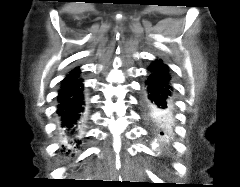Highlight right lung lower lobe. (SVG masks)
<instances>
[{
  "label": "right lung lower lobe",
  "mask_w": 240,
  "mask_h": 187,
  "mask_svg": "<svg viewBox=\"0 0 240 187\" xmlns=\"http://www.w3.org/2000/svg\"><path fill=\"white\" fill-rule=\"evenodd\" d=\"M83 84L80 70L75 68L62 81L57 100V114L61 118V128L71 138L66 145H62L66 153L78 147L81 140L75 137L77 130L84 120Z\"/></svg>",
  "instance_id": "obj_1"
}]
</instances>
